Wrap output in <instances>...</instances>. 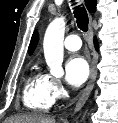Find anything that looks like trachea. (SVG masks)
I'll use <instances>...</instances> for the list:
<instances>
[{
	"mask_svg": "<svg viewBox=\"0 0 118 123\" xmlns=\"http://www.w3.org/2000/svg\"><path fill=\"white\" fill-rule=\"evenodd\" d=\"M73 5H76V3H73ZM74 16L76 18L78 27L83 32H87L89 19H88L87 11L85 10L84 6H81V5L75 6L74 7Z\"/></svg>",
	"mask_w": 118,
	"mask_h": 123,
	"instance_id": "trachea-1",
	"label": "trachea"
}]
</instances>
